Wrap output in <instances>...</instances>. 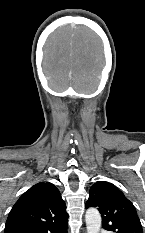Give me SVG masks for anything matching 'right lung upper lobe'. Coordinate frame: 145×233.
Wrapping results in <instances>:
<instances>
[{
  "label": "right lung upper lobe",
  "mask_w": 145,
  "mask_h": 233,
  "mask_svg": "<svg viewBox=\"0 0 145 233\" xmlns=\"http://www.w3.org/2000/svg\"><path fill=\"white\" fill-rule=\"evenodd\" d=\"M68 214L59 190L41 182L27 190L15 203L4 233H62Z\"/></svg>",
  "instance_id": "cb5924a9"
}]
</instances>
